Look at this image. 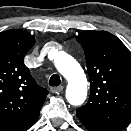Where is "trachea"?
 Here are the masks:
<instances>
[{"mask_svg":"<svg viewBox=\"0 0 131 131\" xmlns=\"http://www.w3.org/2000/svg\"><path fill=\"white\" fill-rule=\"evenodd\" d=\"M60 77L57 75V74H53L51 77H50V80H49V85L50 86H59L60 85Z\"/></svg>","mask_w":131,"mask_h":131,"instance_id":"obj_1","label":"trachea"}]
</instances>
